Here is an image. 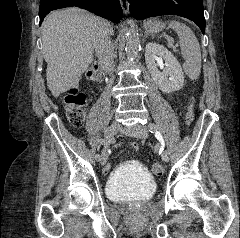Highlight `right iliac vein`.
<instances>
[{
    "instance_id": "1",
    "label": "right iliac vein",
    "mask_w": 240,
    "mask_h": 238,
    "mask_svg": "<svg viewBox=\"0 0 240 238\" xmlns=\"http://www.w3.org/2000/svg\"><path fill=\"white\" fill-rule=\"evenodd\" d=\"M121 130V127L118 123L113 122L109 127L106 128L105 134H104V149L102 151L100 162L102 165H104L107 162L108 159V153L107 148L109 144L114 139V136Z\"/></svg>"
}]
</instances>
